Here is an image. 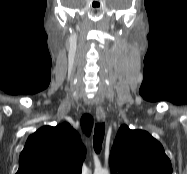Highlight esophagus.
Returning a JSON list of instances; mask_svg holds the SVG:
<instances>
[{"mask_svg": "<svg viewBox=\"0 0 187 174\" xmlns=\"http://www.w3.org/2000/svg\"><path fill=\"white\" fill-rule=\"evenodd\" d=\"M96 119L99 123H103L106 119V114L103 108H96Z\"/></svg>", "mask_w": 187, "mask_h": 174, "instance_id": "esophagus-1", "label": "esophagus"}]
</instances>
